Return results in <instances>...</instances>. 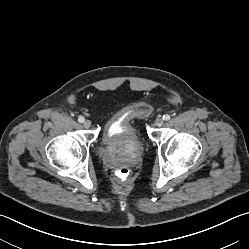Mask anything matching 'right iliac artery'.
I'll return each instance as SVG.
<instances>
[{
	"mask_svg": "<svg viewBox=\"0 0 249 249\" xmlns=\"http://www.w3.org/2000/svg\"><path fill=\"white\" fill-rule=\"evenodd\" d=\"M84 117L83 116H80L79 118H78V121L80 122V123H83L84 122Z\"/></svg>",
	"mask_w": 249,
	"mask_h": 249,
	"instance_id": "1",
	"label": "right iliac artery"
}]
</instances>
